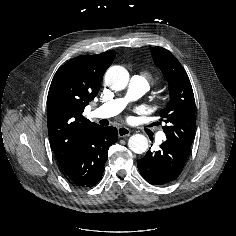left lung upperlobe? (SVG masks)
Here are the masks:
<instances>
[{"label": "left lung upper lobe", "instance_id": "left-lung-upper-lobe-1", "mask_svg": "<svg viewBox=\"0 0 236 236\" xmlns=\"http://www.w3.org/2000/svg\"><path fill=\"white\" fill-rule=\"evenodd\" d=\"M155 64L169 83L170 101L161 113L166 142L179 150L189 153L195 134V99L189 77L167 49L152 47Z\"/></svg>", "mask_w": 236, "mask_h": 236}]
</instances>
